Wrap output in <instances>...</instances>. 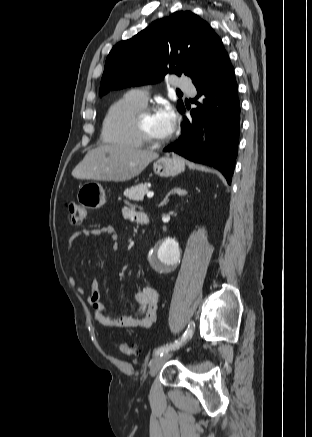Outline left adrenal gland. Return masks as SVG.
<instances>
[{
	"label": "left adrenal gland",
	"instance_id": "1",
	"mask_svg": "<svg viewBox=\"0 0 312 437\" xmlns=\"http://www.w3.org/2000/svg\"><path fill=\"white\" fill-rule=\"evenodd\" d=\"M186 190L181 189V188H173L172 190H170V192H168V194L165 196L164 200L160 203L159 206H163L166 205L169 202V196L172 194H177L179 196H182L184 194H186Z\"/></svg>",
	"mask_w": 312,
	"mask_h": 437
}]
</instances>
